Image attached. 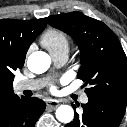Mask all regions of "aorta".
Listing matches in <instances>:
<instances>
[{"label":"aorta","instance_id":"762f6f07","mask_svg":"<svg viewBox=\"0 0 127 127\" xmlns=\"http://www.w3.org/2000/svg\"><path fill=\"white\" fill-rule=\"evenodd\" d=\"M50 64V56L43 51L31 53L27 60L28 69L36 74H41L47 71ZM56 118L62 123H70L74 118L73 108L69 105H60L56 109Z\"/></svg>","mask_w":127,"mask_h":127}]
</instances>
